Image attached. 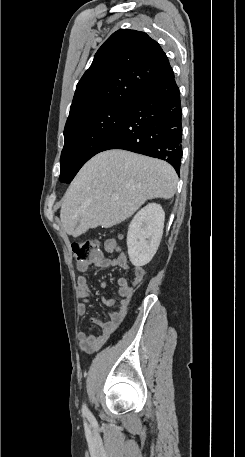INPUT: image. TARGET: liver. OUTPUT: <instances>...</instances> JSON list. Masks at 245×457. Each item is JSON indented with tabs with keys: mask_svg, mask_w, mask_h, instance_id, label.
Listing matches in <instances>:
<instances>
[{
	"mask_svg": "<svg viewBox=\"0 0 245 457\" xmlns=\"http://www.w3.org/2000/svg\"><path fill=\"white\" fill-rule=\"evenodd\" d=\"M177 180L165 160L121 148L99 152L80 168L66 190L60 210L64 231L80 237L96 226L107 229L132 216L148 198H171Z\"/></svg>",
	"mask_w": 245,
	"mask_h": 457,
	"instance_id": "liver-1",
	"label": "liver"
}]
</instances>
